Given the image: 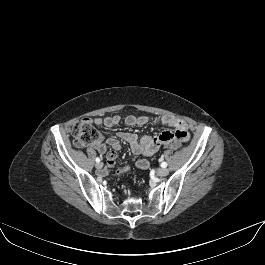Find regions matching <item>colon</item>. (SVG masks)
I'll return each instance as SVG.
<instances>
[{
	"mask_svg": "<svg viewBox=\"0 0 265 265\" xmlns=\"http://www.w3.org/2000/svg\"><path fill=\"white\" fill-rule=\"evenodd\" d=\"M73 142L77 147H85L91 144H95L100 139L99 132L94 128L92 123L87 120H79L72 127ZM166 147L171 149H178L181 146V142L176 139H168ZM129 171L128 168L119 169L116 174L123 175Z\"/></svg>",
	"mask_w": 265,
	"mask_h": 265,
	"instance_id": "obj_1",
	"label": "colon"
}]
</instances>
